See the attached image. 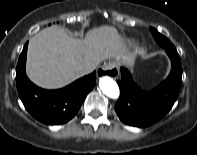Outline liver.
Wrapping results in <instances>:
<instances>
[{"instance_id": "obj_1", "label": "liver", "mask_w": 197, "mask_h": 155, "mask_svg": "<svg viewBox=\"0 0 197 155\" xmlns=\"http://www.w3.org/2000/svg\"><path fill=\"white\" fill-rule=\"evenodd\" d=\"M124 42L111 26L94 28L84 39L70 37L62 28L51 26L33 36L28 45L26 71L36 85L61 88L82 77V67L120 57Z\"/></svg>"}]
</instances>
